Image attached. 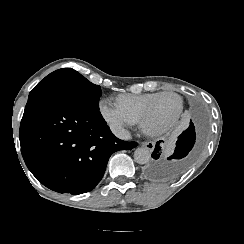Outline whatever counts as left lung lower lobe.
Listing matches in <instances>:
<instances>
[{
  "label": "left lung lower lobe",
  "mask_w": 244,
  "mask_h": 244,
  "mask_svg": "<svg viewBox=\"0 0 244 244\" xmlns=\"http://www.w3.org/2000/svg\"><path fill=\"white\" fill-rule=\"evenodd\" d=\"M195 139V127L192 121H190L189 128L178 137L172 155L159 159L160 147L156 145L152 153L154 160L150 161L144 169L146 176L151 179L161 180L179 175L188 167L193 159L192 154L189 155V153L195 144Z\"/></svg>",
  "instance_id": "left-lung-lower-lobe-1"
}]
</instances>
